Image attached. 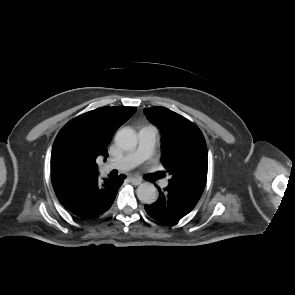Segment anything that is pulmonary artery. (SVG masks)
Here are the masks:
<instances>
[{"label":"pulmonary artery","mask_w":295,"mask_h":295,"mask_svg":"<svg viewBox=\"0 0 295 295\" xmlns=\"http://www.w3.org/2000/svg\"><path fill=\"white\" fill-rule=\"evenodd\" d=\"M138 139L139 143L135 150L128 152L121 158L110 160L105 164L104 168L106 170H128L148 159L154 151L157 140V132L153 127H143L138 132ZM167 184L168 182L166 180L161 182L163 187H166Z\"/></svg>","instance_id":"pulmonary-artery-1"}]
</instances>
